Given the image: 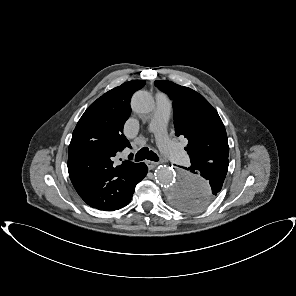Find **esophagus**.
<instances>
[{
    "mask_svg": "<svg viewBox=\"0 0 296 296\" xmlns=\"http://www.w3.org/2000/svg\"><path fill=\"white\" fill-rule=\"evenodd\" d=\"M146 165H147V167H148L149 170H152V169H154L158 165V163L157 162H154V161L147 160L146 161Z\"/></svg>",
    "mask_w": 296,
    "mask_h": 296,
    "instance_id": "obj_1",
    "label": "esophagus"
}]
</instances>
